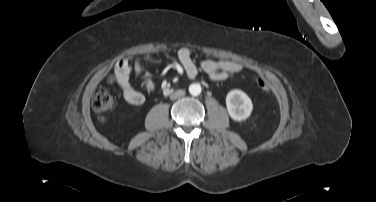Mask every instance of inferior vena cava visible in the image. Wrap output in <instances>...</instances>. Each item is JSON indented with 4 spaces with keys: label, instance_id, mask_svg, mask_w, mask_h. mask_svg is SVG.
<instances>
[{
    "label": "inferior vena cava",
    "instance_id": "602c4592",
    "mask_svg": "<svg viewBox=\"0 0 376 202\" xmlns=\"http://www.w3.org/2000/svg\"><path fill=\"white\" fill-rule=\"evenodd\" d=\"M184 95H185V91L178 90V91H176L175 93L172 94L171 99H176V98L182 97Z\"/></svg>",
    "mask_w": 376,
    "mask_h": 202
}]
</instances>
